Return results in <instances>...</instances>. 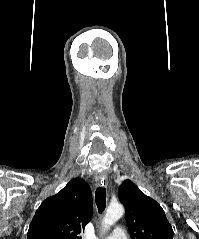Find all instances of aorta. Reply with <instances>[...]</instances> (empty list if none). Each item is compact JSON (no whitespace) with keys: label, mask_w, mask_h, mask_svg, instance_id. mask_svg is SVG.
I'll use <instances>...</instances> for the list:
<instances>
[{"label":"aorta","mask_w":199,"mask_h":239,"mask_svg":"<svg viewBox=\"0 0 199 239\" xmlns=\"http://www.w3.org/2000/svg\"><path fill=\"white\" fill-rule=\"evenodd\" d=\"M124 214V207L121 204H111L106 211L105 217L102 221L104 230L110 229Z\"/></svg>","instance_id":"762f6f07"}]
</instances>
